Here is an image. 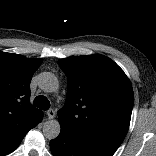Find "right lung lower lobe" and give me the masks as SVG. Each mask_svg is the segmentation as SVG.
I'll return each mask as SVG.
<instances>
[{"label":"right lung lower lobe","mask_w":156,"mask_h":156,"mask_svg":"<svg viewBox=\"0 0 156 156\" xmlns=\"http://www.w3.org/2000/svg\"><path fill=\"white\" fill-rule=\"evenodd\" d=\"M41 119H42V116L40 117L38 122L32 128H34L41 121ZM30 129L23 132L21 135H18L10 144L1 140V142H0V156H3L5 154H8V153L12 152L13 150H15L19 146L20 142L22 141V139L24 138V136L26 135V133Z\"/></svg>","instance_id":"obj_1"}]
</instances>
